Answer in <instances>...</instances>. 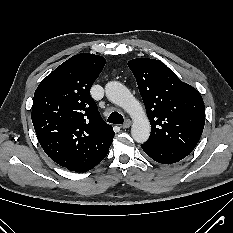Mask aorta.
I'll return each instance as SVG.
<instances>
[{
  "label": "aorta",
  "mask_w": 233,
  "mask_h": 233,
  "mask_svg": "<svg viewBox=\"0 0 233 233\" xmlns=\"http://www.w3.org/2000/svg\"><path fill=\"white\" fill-rule=\"evenodd\" d=\"M107 98L122 107L133 120L131 135L138 143L148 140L151 127L140 102L131 94L126 86L117 81L108 82L105 86Z\"/></svg>",
  "instance_id": "762f6f07"
}]
</instances>
